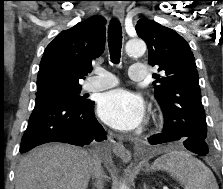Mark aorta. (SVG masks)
<instances>
[{
    "instance_id": "aorta-1",
    "label": "aorta",
    "mask_w": 223,
    "mask_h": 189,
    "mask_svg": "<svg viewBox=\"0 0 223 189\" xmlns=\"http://www.w3.org/2000/svg\"><path fill=\"white\" fill-rule=\"evenodd\" d=\"M125 50L129 56L139 57L145 53L146 44L141 39L138 38L131 39L126 43ZM120 189H127V188L125 186H122Z\"/></svg>"
}]
</instances>
